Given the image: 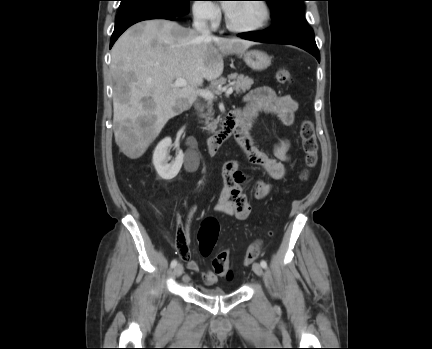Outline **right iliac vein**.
Returning <instances> with one entry per match:
<instances>
[{"label": "right iliac vein", "mask_w": 432, "mask_h": 349, "mask_svg": "<svg viewBox=\"0 0 432 349\" xmlns=\"http://www.w3.org/2000/svg\"><path fill=\"white\" fill-rule=\"evenodd\" d=\"M173 273L175 277H180L183 273V266L181 264L176 265Z\"/></svg>", "instance_id": "right-iliac-vein-1"}]
</instances>
